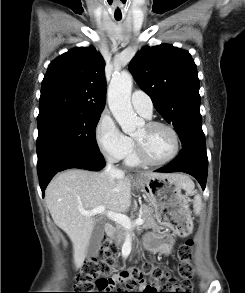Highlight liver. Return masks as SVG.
<instances>
[{
  "instance_id": "6515ba94",
  "label": "liver",
  "mask_w": 245,
  "mask_h": 293,
  "mask_svg": "<svg viewBox=\"0 0 245 293\" xmlns=\"http://www.w3.org/2000/svg\"><path fill=\"white\" fill-rule=\"evenodd\" d=\"M140 177H170L187 191L194 187L192 181L182 174L143 172ZM131 186L132 177L126 176L122 171L111 179L107 172L81 169H69L60 173L47 186L46 204L54 223L69 236L73 244L76 269L83 265L97 222L94 216H84L80 210L90 211L105 206L112 212H125L131 205Z\"/></svg>"
}]
</instances>
